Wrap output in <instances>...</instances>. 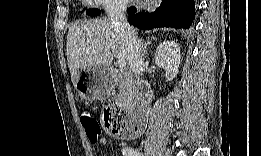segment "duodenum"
<instances>
[{
	"label": "duodenum",
	"instance_id": "duodenum-1",
	"mask_svg": "<svg viewBox=\"0 0 261 156\" xmlns=\"http://www.w3.org/2000/svg\"><path fill=\"white\" fill-rule=\"evenodd\" d=\"M114 74L121 82L131 80L129 73L126 71L116 70ZM116 104L126 112L131 113L137 124L144 125L147 121L150 106V95L147 86L142 83L133 97L119 99Z\"/></svg>",
	"mask_w": 261,
	"mask_h": 156
}]
</instances>
